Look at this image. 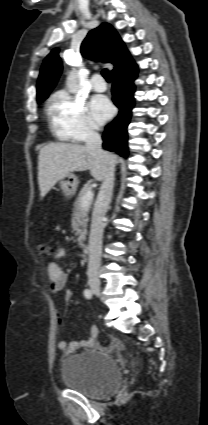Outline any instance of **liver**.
<instances>
[{"label": "liver", "instance_id": "1", "mask_svg": "<svg viewBox=\"0 0 208 425\" xmlns=\"http://www.w3.org/2000/svg\"><path fill=\"white\" fill-rule=\"evenodd\" d=\"M116 162V157L111 154ZM89 170L92 177L102 181L106 164L86 146L70 143H49L38 156V183L43 198L50 189L71 172Z\"/></svg>", "mask_w": 208, "mask_h": 425}]
</instances>
